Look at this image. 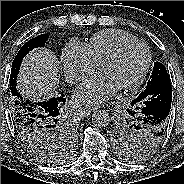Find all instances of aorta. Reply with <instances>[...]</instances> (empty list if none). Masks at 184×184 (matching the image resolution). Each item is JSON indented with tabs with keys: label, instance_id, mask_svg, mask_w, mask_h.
Returning <instances> with one entry per match:
<instances>
[{
	"label": "aorta",
	"instance_id": "obj_1",
	"mask_svg": "<svg viewBox=\"0 0 184 184\" xmlns=\"http://www.w3.org/2000/svg\"><path fill=\"white\" fill-rule=\"evenodd\" d=\"M110 122V115L105 110H97L92 114V123L95 127H106Z\"/></svg>",
	"mask_w": 184,
	"mask_h": 184
}]
</instances>
